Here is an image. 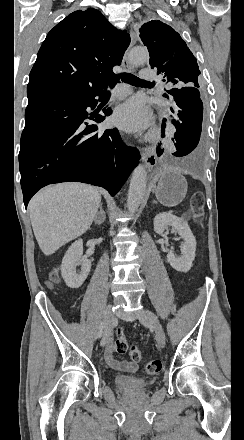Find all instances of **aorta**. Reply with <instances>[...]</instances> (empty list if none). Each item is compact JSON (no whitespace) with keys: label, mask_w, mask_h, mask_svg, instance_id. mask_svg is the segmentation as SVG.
<instances>
[{"label":"aorta","mask_w":244,"mask_h":440,"mask_svg":"<svg viewBox=\"0 0 244 440\" xmlns=\"http://www.w3.org/2000/svg\"><path fill=\"white\" fill-rule=\"evenodd\" d=\"M149 54L146 48L134 47L128 55L129 63L139 65L147 61ZM147 184V174L143 165L139 164L133 171L128 190L127 208L134 214L139 208L144 197Z\"/></svg>","instance_id":"aorta-1"}]
</instances>
